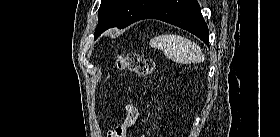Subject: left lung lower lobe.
Wrapping results in <instances>:
<instances>
[{"label": "left lung lower lobe", "instance_id": "1", "mask_svg": "<svg viewBox=\"0 0 280 137\" xmlns=\"http://www.w3.org/2000/svg\"><path fill=\"white\" fill-rule=\"evenodd\" d=\"M142 19H158L199 37L209 44V30L197 0H160Z\"/></svg>", "mask_w": 280, "mask_h": 137}]
</instances>
